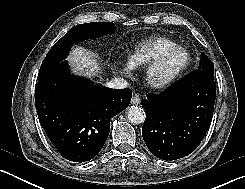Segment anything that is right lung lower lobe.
<instances>
[{
    "mask_svg": "<svg viewBox=\"0 0 245 189\" xmlns=\"http://www.w3.org/2000/svg\"><path fill=\"white\" fill-rule=\"evenodd\" d=\"M130 89H110L70 74L67 62L38 77L35 103L49 140L66 159L85 162L102 149L111 118L127 108Z\"/></svg>",
    "mask_w": 245,
    "mask_h": 189,
    "instance_id": "right-lung-lower-lobe-1",
    "label": "right lung lower lobe"
}]
</instances>
